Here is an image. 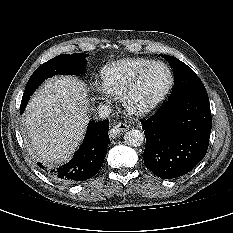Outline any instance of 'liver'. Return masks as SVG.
Masks as SVG:
<instances>
[{
	"label": "liver",
	"instance_id": "6515ba94",
	"mask_svg": "<svg viewBox=\"0 0 233 233\" xmlns=\"http://www.w3.org/2000/svg\"><path fill=\"white\" fill-rule=\"evenodd\" d=\"M83 82L70 76L48 80L31 98L25 112L30 148L51 166L68 160L82 141L88 123Z\"/></svg>",
	"mask_w": 233,
	"mask_h": 233
}]
</instances>
